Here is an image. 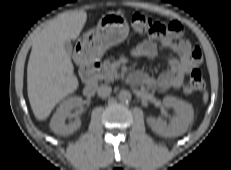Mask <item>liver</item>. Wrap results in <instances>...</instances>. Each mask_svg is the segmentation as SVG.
<instances>
[{"mask_svg": "<svg viewBox=\"0 0 231 170\" xmlns=\"http://www.w3.org/2000/svg\"><path fill=\"white\" fill-rule=\"evenodd\" d=\"M86 20L84 10L60 14L34 38L27 67V91L38 120H45L57 103L79 87L64 43L78 38Z\"/></svg>", "mask_w": 231, "mask_h": 170, "instance_id": "liver-1", "label": "liver"}]
</instances>
